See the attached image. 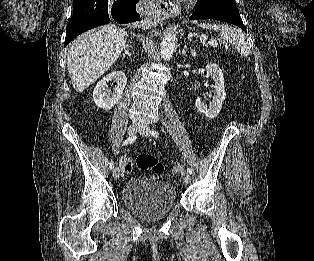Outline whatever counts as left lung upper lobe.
Segmentation results:
<instances>
[{
	"instance_id": "1",
	"label": "left lung upper lobe",
	"mask_w": 314,
	"mask_h": 261,
	"mask_svg": "<svg viewBox=\"0 0 314 261\" xmlns=\"http://www.w3.org/2000/svg\"><path fill=\"white\" fill-rule=\"evenodd\" d=\"M196 7H199V8H211V7L236 8L233 0H197Z\"/></svg>"
}]
</instances>
